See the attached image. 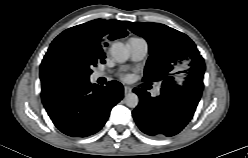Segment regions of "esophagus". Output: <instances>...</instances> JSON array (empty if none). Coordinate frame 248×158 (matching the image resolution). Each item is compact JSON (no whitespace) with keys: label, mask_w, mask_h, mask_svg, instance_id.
Masks as SVG:
<instances>
[{"label":"esophagus","mask_w":248,"mask_h":158,"mask_svg":"<svg viewBox=\"0 0 248 158\" xmlns=\"http://www.w3.org/2000/svg\"><path fill=\"white\" fill-rule=\"evenodd\" d=\"M131 91H132V88L131 87L124 86V93H125V95L128 94V93H130Z\"/></svg>","instance_id":"1"}]
</instances>
